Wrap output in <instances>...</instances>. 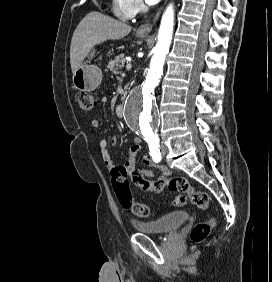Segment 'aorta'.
Instances as JSON below:
<instances>
[{
	"label": "aorta",
	"instance_id": "1",
	"mask_svg": "<svg viewBox=\"0 0 272 282\" xmlns=\"http://www.w3.org/2000/svg\"><path fill=\"white\" fill-rule=\"evenodd\" d=\"M174 9L170 4L164 12L158 33V41L146 78L128 94L125 102V120L128 126L145 139H157L159 123L155 90L160 82L165 57L173 35Z\"/></svg>",
	"mask_w": 272,
	"mask_h": 282
}]
</instances>
